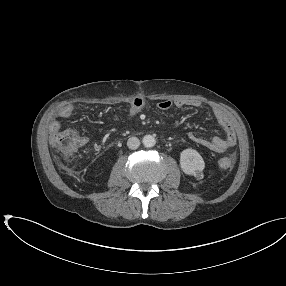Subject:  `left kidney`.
I'll return each instance as SVG.
<instances>
[{
	"instance_id": "obj_1",
	"label": "left kidney",
	"mask_w": 286,
	"mask_h": 286,
	"mask_svg": "<svg viewBox=\"0 0 286 286\" xmlns=\"http://www.w3.org/2000/svg\"><path fill=\"white\" fill-rule=\"evenodd\" d=\"M180 165L183 172L198 179L203 178L205 163L202 156L194 149H185L180 154Z\"/></svg>"
}]
</instances>
